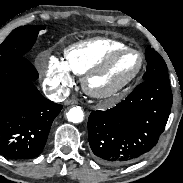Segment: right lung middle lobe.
Segmentation results:
<instances>
[{"label": "right lung middle lobe", "instance_id": "1", "mask_svg": "<svg viewBox=\"0 0 183 183\" xmlns=\"http://www.w3.org/2000/svg\"><path fill=\"white\" fill-rule=\"evenodd\" d=\"M43 29V25H27L13 30L0 45V62L26 56Z\"/></svg>", "mask_w": 183, "mask_h": 183}]
</instances>
